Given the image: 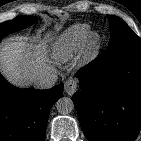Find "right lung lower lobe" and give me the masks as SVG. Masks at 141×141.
<instances>
[{"mask_svg":"<svg viewBox=\"0 0 141 141\" xmlns=\"http://www.w3.org/2000/svg\"><path fill=\"white\" fill-rule=\"evenodd\" d=\"M62 95L63 84L18 89L0 74V141H43L50 108Z\"/></svg>","mask_w":141,"mask_h":141,"instance_id":"1","label":"right lung lower lobe"}]
</instances>
